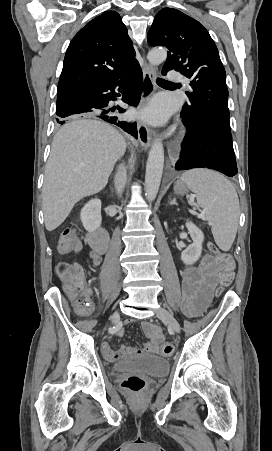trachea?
I'll return each mask as SVG.
<instances>
[{"mask_svg": "<svg viewBox=\"0 0 272 451\" xmlns=\"http://www.w3.org/2000/svg\"><path fill=\"white\" fill-rule=\"evenodd\" d=\"M157 82H158V84L171 83V82H167V80H163L162 78H158Z\"/></svg>", "mask_w": 272, "mask_h": 451, "instance_id": "obj_1", "label": "trachea"}]
</instances>
